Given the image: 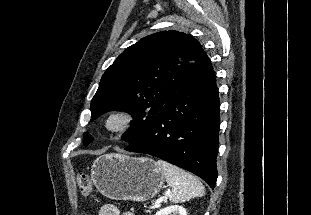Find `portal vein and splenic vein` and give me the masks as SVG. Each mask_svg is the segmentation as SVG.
<instances>
[{
    "label": "portal vein and splenic vein",
    "instance_id": "18ae733b",
    "mask_svg": "<svg viewBox=\"0 0 311 215\" xmlns=\"http://www.w3.org/2000/svg\"><path fill=\"white\" fill-rule=\"evenodd\" d=\"M169 194H170V191H167L166 194H165L163 197L159 198V199L155 202L154 208H159V207H160V203H161L162 201H167V198H168Z\"/></svg>",
    "mask_w": 311,
    "mask_h": 215
}]
</instances>
